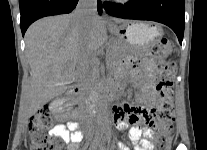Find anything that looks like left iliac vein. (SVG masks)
Segmentation results:
<instances>
[{"label":"left iliac vein","instance_id":"obj_1","mask_svg":"<svg viewBox=\"0 0 207 150\" xmlns=\"http://www.w3.org/2000/svg\"><path fill=\"white\" fill-rule=\"evenodd\" d=\"M96 144H97V143H96ZM99 150H106L105 146H104L102 143L99 144ZM110 150H114V147L111 146V147H110Z\"/></svg>","mask_w":207,"mask_h":150}]
</instances>
